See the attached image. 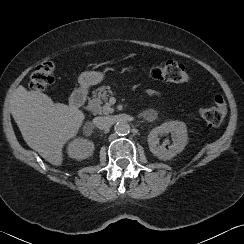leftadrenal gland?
Masks as SVG:
<instances>
[{"label": "left adrenal gland", "mask_w": 244, "mask_h": 244, "mask_svg": "<svg viewBox=\"0 0 244 244\" xmlns=\"http://www.w3.org/2000/svg\"><path fill=\"white\" fill-rule=\"evenodd\" d=\"M138 117H139V118H142V117H143V114H140Z\"/></svg>", "instance_id": "a2214340"}]
</instances>
